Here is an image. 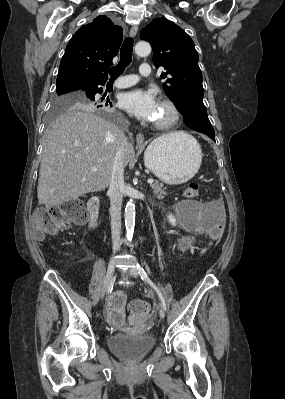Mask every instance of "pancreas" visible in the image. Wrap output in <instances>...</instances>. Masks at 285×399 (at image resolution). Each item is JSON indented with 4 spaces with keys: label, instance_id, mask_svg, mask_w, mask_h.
Returning <instances> with one entry per match:
<instances>
[{
    "label": "pancreas",
    "instance_id": "cf45deb5",
    "mask_svg": "<svg viewBox=\"0 0 285 399\" xmlns=\"http://www.w3.org/2000/svg\"><path fill=\"white\" fill-rule=\"evenodd\" d=\"M151 188L153 189L154 195L159 199H163L166 195V188L162 183L155 182L151 185Z\"/></svg>",
    "mask_w": 285,
    "mask_h": 399
}]
</instances>
